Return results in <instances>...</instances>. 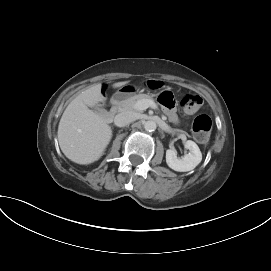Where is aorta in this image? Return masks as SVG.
Returning <instances> with one entry per match:
<instances>
[{
    "mask_svg": "<svg viewBox=\"0 0 271 271\" xmlns=\"http://www.w3.org/2000/svg\"><path fill=\"white\" fill-rule=\"evenodd\" d=\"M157 128L156 122L153 120H148L144 123V129L146 131L152 132L155 131Z\"/></svg>",
    "mask_w": 271,
    "mask_h": 271,
    "instance_id": "1",
    "label": "aorta"
}]
</instances>
